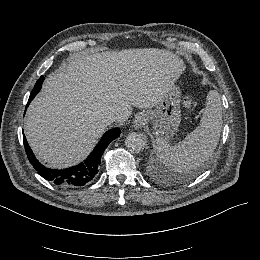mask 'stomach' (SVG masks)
<instances>
[{
	"mask_svg": "<svg viewBox=\"0 0 260 260\" xmlns=\"http://www.w3.org/2000/svg\"><path fill=\"white\" fill-rule=\"evenodd\" d=\"M148 118L153 124V133L157 137L172 139L182 119L179 88L174 86L172 91L156 106L155 112L148 113Z\"/></svg>",
	"mask_w": 260,
	"mask_h": 260,
	"instance_id": "stomach-1",
	"label": "stomach"
}]
</instances>
